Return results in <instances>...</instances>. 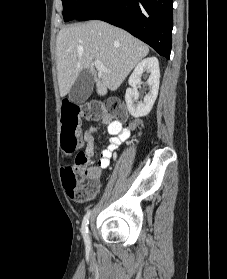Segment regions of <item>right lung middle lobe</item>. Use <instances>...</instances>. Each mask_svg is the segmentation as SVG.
<instances>
[{"instance_id":"dd1d6c3e","label":"right lung middle lobe","mask_w":227,"mask_h":279,"mask_svg":"<svg viewBox=\"0 0 227 279\" xmlns=\"http://www.w3.org/2000/svg\"><path fill=\"white\" fill-rule=\"evenodd\" d=\"M92 0H62L65 21L76 19Z\"/></svg>"}]
</instances>
